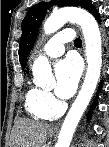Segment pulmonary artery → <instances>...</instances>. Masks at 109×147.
Listing matches in <instances>:
<instances>
[{
  "instance_id": "1",
  "label": "pulmonary artery",
  "mask_w": 109,
  "mask_h": 147,
  "mask_svg": "<svg viewBox=\"0 0 109 147\" xmlns=\"http://www.w3.org/2000/svg\"><path fill=\"white\" fill-rule=\"evenodd\" d=\"M76 37L74 32H61L52 36L43 48V53L49 58L61 56L64 51V44L71 42Z\"/></svg>"
}]
</instances>
